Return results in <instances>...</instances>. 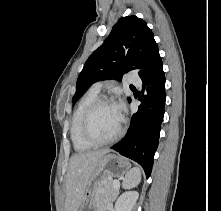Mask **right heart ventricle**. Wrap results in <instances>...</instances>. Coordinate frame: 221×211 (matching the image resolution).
Returning <instances> with one entry per match:
<instances>
[{
  "label": "right heart ventricle",
  "mask_w": 221,
  "mask_h": 211,
  "mask_svg": "<svg viewBox=\"0 0 221 211\" xmlns=\"http://www.w3.org/2000/svg\"><path fill=\"white\" fill-rule=\"evenodd\" d=\"M99 96V91L94 88L89 89L80 99L74 110L71 122V140L77 151H85L93 147L92 144L84 140L81 133V124L85 111L90 104Z\"/></svg>",
  "instance_id": "e07e8e85"
}]
</instances>
